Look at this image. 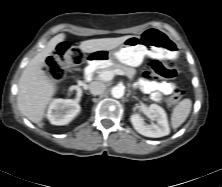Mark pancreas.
<instances>
[{"mask_svg":"<svg viewBox=\"0 0 222 187\" xmlns=\"http://www.w3.org/2000/svg\"><path fill=\"white\" fill-rule=\"evenodd\" d=\"M116 69L123 71L124 74L131 80L133 79L134 75L136 74V70L134 68L127 67L122 64H114V63L111 64L110 66L104 68L102 71H114Z\"/></svg>","mask_w":222,"mask_h":187,"instance_id":"cf45deb5","label":"pancreas"}]
</instances>
